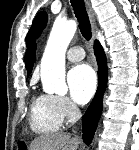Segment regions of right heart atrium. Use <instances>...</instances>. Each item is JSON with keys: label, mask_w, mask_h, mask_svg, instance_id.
<instances>
[{"label": "right heart atrium", "mask_w": 139, "mask_h": 150, "mask_svg": "<svg viewBox=\"0 0 139 150\" xmlns=\"http://www.w3.org/2000/svg\"><path fill=\"white\" fill-rule=\"evenodd\" d=\"M54 99L63 118L72 119L76 116L77 107L67 97L54 96Z\"/></svg>", "instance_id": "right-heart-atrium-1"}]
</instances>
